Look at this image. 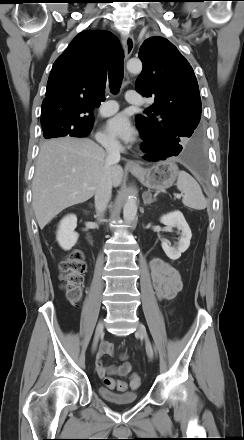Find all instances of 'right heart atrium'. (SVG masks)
<instances>
[{
  "label": "right heart atrium",
  "instance_id": "obj_1",
  "mask_svg": "<svg viewBox=\"0 0 244 440\" xmlns=\"http://www.w3.org/2000/svg\"><path fill=\"white\" fill-rule=\"evenodd\" d=\"M96 138L98 142L105 147H115L118 145V142L113 137L103 131L98 132Z\"/></svg>",
  "mask_w": 244,
  "mask_h": 440
}]
</instances>
